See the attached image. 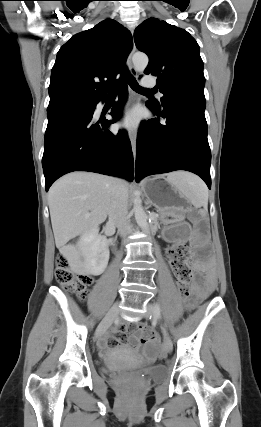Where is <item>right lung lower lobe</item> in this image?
Returning <instances> with one entry per match:
<instances>
[{
	"mask_svg": "<svg viewBox=\"0 0 261 427\" xmlns=\"http://www.w3.org/2000/svg\"><path fill=\"white\" fill-rule=\"evenodd\" d=\"M126 88L125 84L119 102L124 100ZM94 110L48 118L42 158L46 191L55 180L72 171L97 172L133 180V154L126 133L110 132L107 127L117 119L95 121ZM112 116L118 117V112L113 111Z\"/></svg>",
	"mask_w": 261,
	"mask_h": 427,
	"instance_id": "98d812e1",
	"label": "right lung lower lobe"
}]
</instances>
